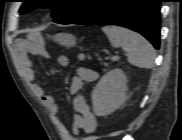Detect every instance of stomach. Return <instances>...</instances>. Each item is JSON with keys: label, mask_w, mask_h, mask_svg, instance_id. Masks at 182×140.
Masks as SVG:
<instances>
[{"label": "stomach", "mask_w": 182, "mask_h": 140, "mask_svg": "<svg viewBox=\"0 0 182 140\" xmlns=\"http://www.w3.org/2000/svg\"><path fill=\"white\" fill-rule=\"evenodd\" d=\"M53 38L58 44L65 47H73L76 44V38L68 33H59Z\"/></svg>", "instance_id": "0dacf381"}]
</instances>
